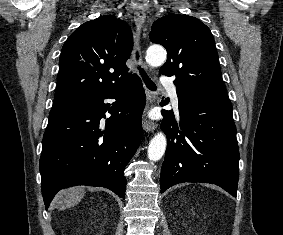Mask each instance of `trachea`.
Returning <instances> with one entry per match:
<instances>
[{
	"label": "trachea",
	"mask_w": 283,
	"mask_h": 235,
	"mask_svg": "<svg viewBox=\"0 0 283 235\" xmlns=\"http://www.w3.org/2000/svg\"><path fill=\"white\" fill-rule=\"evenodd\" d=\"M137 58L139 57L138 53H136ZM139 71H140V75L142 76L143 81L145 82L146 86L150 89V90H156V85L153 83V81L148 77V75L146 74V72L138 67Z\"/></svg>",
	"instance_id": "3493384b"
}]
</instances>
